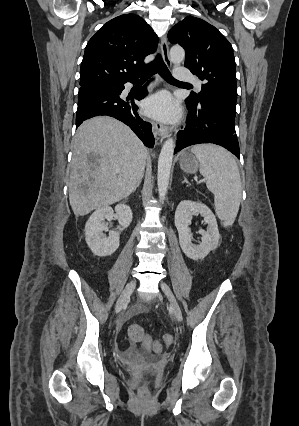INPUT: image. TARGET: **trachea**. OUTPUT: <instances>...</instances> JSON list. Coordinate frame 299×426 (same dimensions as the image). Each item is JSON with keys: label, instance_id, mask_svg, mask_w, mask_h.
<instances>
[{"label": "trachea", "instance_id": "trachea-1", "mask_svg": "<svg viewBox=\"0 0 299 426\" xmlns=\"http://www.w3.org/2000/svg\"><path fill=\"white\" fill-rule=\"evenodd\" d=\"M157 72L167 82L183 83L173 78V76L171 75L170 71L168 70L167 66L165 65L160 55H158L156 59L148 66V68L145 70L141 79L147 80L148 78H150L153 74Z\"/></svg>", "mask_w": 299, "mask_h": 426}]
</instances>
